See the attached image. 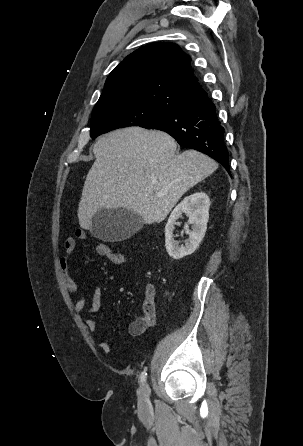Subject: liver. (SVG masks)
Segmentation results:
<instances>
[{
	"label": "liver",
	"mask_w": 303,
	"mask_h": 446,
	"mask_svg": "<svg viewBox=\"0 0 303 446\" xmlns=\"http://www.w3.org/2000/svg\"><path fill=\"white\" fill-rule=\"evenodd\" d=\"M176 148L168 134L140 127L101 136L79 202L80 226L89 230L97 211L117 208L138 214L145 224L162 222L185 192L218 168L198 151L176 154Z\"/></svg>",
	"instance_id": "liver-1"
}]
</instances>
